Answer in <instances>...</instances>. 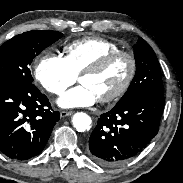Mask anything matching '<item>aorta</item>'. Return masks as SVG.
I'll list each match as a JSON object with an SVG mask.
<instances>
[{
  "instance_id": "762f6f07",
  "label": "aorta",
  "mask_w": 183,
  "mask_h": 183,
  "mask_svg": "<svg viewBox=\"0 0 183 183\" xmlns=\"http://www.w3.org/2000/svg\"><path fill=\"white\" fill-rule=\"evenodd\" d=\"M91 118L83 112H77L72 117V124L79 132H84L90 129Z\"/></svg>"
}]
</instances>
